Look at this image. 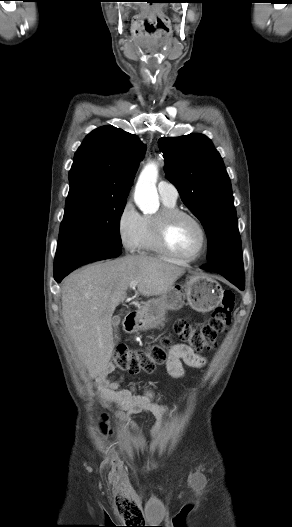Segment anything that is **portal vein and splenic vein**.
<instances>
[{"label": "portal vein and splenic vein", "mask_w": 292, "mask_h": 527, "mask_svg": "<svg viewBox=\"0 0 292 527\" xmlns=\"http://www.w3.org/2000/svg\"><path fill=\"white\" fill-rule=\"evenodd\" d=\"M137 284H138L137 281H132V282L130 283V288H131V289H134V288L137 286Z\"/></svg>", "instance_id": "18ae733b"}]
</instances>
